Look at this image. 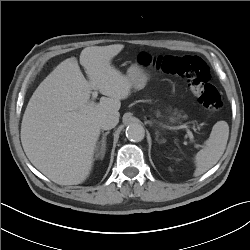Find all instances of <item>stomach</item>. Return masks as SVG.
Segmentation results:
<instances>
[{"mask_svg":"<svg viewBox=\"0 0 250 250\" xmlns=\"http://www.w3.org/2000/svg\"><path fill=\"white\" fill-rule=\"evenodd\" d=\"M127 76L136 90L143 89L148 81L147 73L138 65H132L127 71Z\"/></svg>","mask_w":250,"mask_h":250,"instance_id":"0dacf381","label":"stomach"}]
</instances>
